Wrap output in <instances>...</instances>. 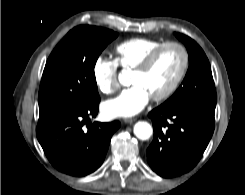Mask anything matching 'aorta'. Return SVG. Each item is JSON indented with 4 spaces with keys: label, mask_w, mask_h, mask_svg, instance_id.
I'll return each instance as SVG.
<instances>
[{
    "label": "aorta",
    "mask_w": 245,
    "mask_h": 195,
    "mask_svg": "<svg viewBox=\"0 0 245 195\" xmlns=\"http://www.w3.org/2000/svg\"><path fill=\"white\" fill-rule=\"evenodd\" d=\"M133 132L137 138L141 140H147L151 137L153 129L148 122L139 121L134 125Z\"/></svg>",
    "instance_id": "aorta-1"
}]
</instances>
